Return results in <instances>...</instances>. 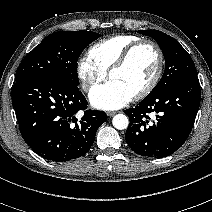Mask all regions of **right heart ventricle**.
<instances>
[{
  "label": "right heart ventricle",
  "instance_id": "e07e8e85",
  "mask_svg": "<svg viewBox=\"0 0 212 212\" xmlns=\"http://www.w3.org/2000/svg\"><path fill=\"white\" fill-rule=\"evenodd\" d=\"M139 38L129 34H119L103 39L88 50L89 59L102 71L107 73L121 54Z\"/></svg>",
  "mask_w": 212,
  "mask_h": 212
}]
</instances>
